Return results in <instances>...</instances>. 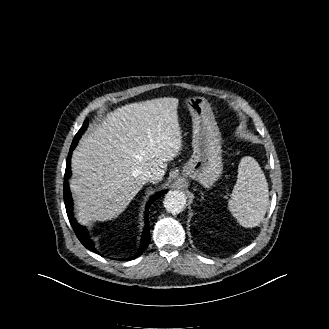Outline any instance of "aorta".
<instances>
[{
  "label": "aorta",
  "mask_w": 329,
  "mask_h": 329,
  "mask_svg": "<svg viewBox=\"0 0 329 329\" xmlns=\"http://www.w3.org/2000/svg\"><path fill=\"white\" fill-rule=\"evenodd\" d=\"M164 207L165 209L172 213V214H178L183 211L184 206L186 204V197L185 194L174 190L169 191L164 198Z\"/></svg>",
  "instance_id": "1"
}]
</instances>
